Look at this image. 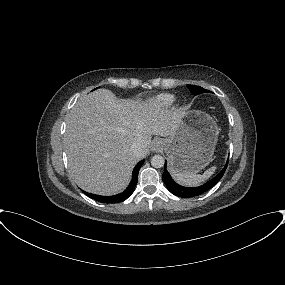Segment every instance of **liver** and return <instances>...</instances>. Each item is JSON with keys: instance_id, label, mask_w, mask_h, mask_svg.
<instances>
[{"instance_id": "1", "label": "liver", "mask_w": 285, "mask_h": 285, "mask_svg": "<svg viewBox=\"0 0 285 285\" xmlns=\"http://www.w3.org/2000/svg\"><path fill=\"white\" fill-rule=\"evenodd\" d=\"M184 115L181 108L168 110L153 102L117 99L107 89L85 95L66 120L70 176L90 193L122 192L135 164L149 152L152 135H172ZM133 142L142 146L138 157L130 151Z\"/></svg>"}]
</instances>
